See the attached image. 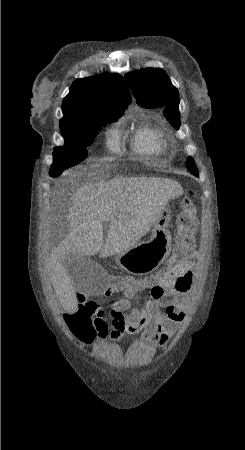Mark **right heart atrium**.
I'll use <instances>...</instances> for the list:
<instances>
[{"instance_id": "right-heart-atrium-1", "label": "right heart atrium", "mask_w": 245, "mask_h": 450, "mask_svg": "<svg viewBox=\"0 0 245 450\" xmlns=\"http://www.w3.org/2000/svg\"><path fill=\"white\" fill-rule=\"evenodd\" d=\"M108 145H109V147H110L112 150H114V151L118 150V147H119V140H118V136H117V134H116L115 131H111V132L109 133V136H108Z\"/></svg>"}]
</instances>
